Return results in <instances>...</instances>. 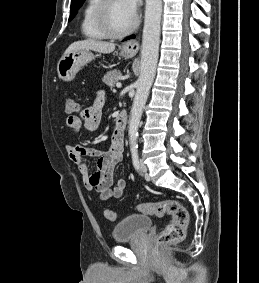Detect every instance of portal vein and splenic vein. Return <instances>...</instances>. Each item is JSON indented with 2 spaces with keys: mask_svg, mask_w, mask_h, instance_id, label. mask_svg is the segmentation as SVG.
Listing matches in <instances>:
<instances>
[{
  "mask_svg": "<svg viewBox=\"0 0 259 283\" xmlns=\"http://www.w3.org/2000/svg\"><path fill=\"white\" fill-rule=\"evenodd\" d=\"M121 86H122V84H121L120 82H118V83L116 84V87H117V88H121Z\"/></svg>",
  "mask_w": 259,
  "mask_h": 283,
  "instance_id": "18ae733b",
  "label": "portal vein and splenic vein"
}]
</instances>
